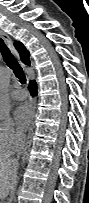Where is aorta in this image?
I'll use <instances>...</instances> for the list:
<instances>
[{
  "label": "aorta",
  "instance_id": "762f6f07",
  "mask_svg": "<svg viewBox=\"0 0 89 203\" xmlns=\"http://www.w3.org/2000/svg\"><path fill=\"white\" fill-rule=\"evenodd\" d=\"M11 72L5 70L2 74V91L0 93V115L2 117H7L10 112V98L5 90L10 80Z\"/></svg>",
  "mask_w": 89,
  "mask_h": 203
}]
</instances>
